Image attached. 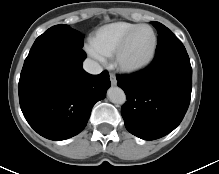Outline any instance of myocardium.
Returning a JSON list of instances; mask_svg holds the SVG:
<instances>
[{
    "mask_svg": "<svg viewBox=\"0 0 219 174\" xmlns=\"http://www.w3.org/2000/svg\"><path fill=\"white\" fill-rule=\"evenodd\" d=\"M142 28H148L151 30L153 34V45L152 49L150 51V54L142 61L138 63H127L123 60V55L129 45L130 40L134 36V34L142 29ZM158 46V37L155 29L148 25V24H140L136 26L134 29H132L121 41L120 45L116 49L114 53V65L122 72L124 73H136L143 69H145L147 66L150 65V63L153 61Z\"/></svg>",
    "mask_w": 219,
    "mask_h": 174,
    "instance_id": "obj_1",
    "label": "myocardium"
}]
</instances>
